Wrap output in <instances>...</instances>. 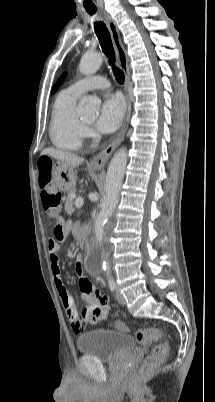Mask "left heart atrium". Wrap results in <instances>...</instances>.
Here are the masks:
<instances>
[{"label": "left heart atrium", "mask_w": 215, "mask_h": 402, "mask_svg": "<svg viewBox=\"0 0 215 402\" xmlns=\"http://www.w3.org/2000/svg\"><path fill=\"white\" fill-rule=\"evenodd\" d=\"M125 114V102L120 95H107L101 105L96 122L97 128L104 133L117 130Z\"/></svg>", "instance_id": "obj_1"}]
</instances>
